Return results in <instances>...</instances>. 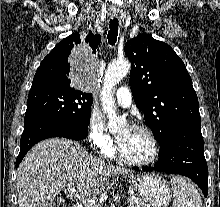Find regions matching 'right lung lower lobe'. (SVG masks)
<instances>
[{
  "label": "right lung lower lobe",
  "instance_id": "right-lung-lower-lobe-1",
  "mask_svg": "<svg viewBox=\"0 0 220 207\" xmlns=\"http://www.w3.org/2000/svg\"><path fill=\"white\" fill-rule=\"evenodd\" d=\"M88 126L72 122L53 119L33 118L24 123L21 136L20 152L16 159V167L20 164L26 153L37 142L50 137H65L81 140L87 136Z\"/></svg>",
  "mask_w": 220,
  "mask_h": 207
}]
</instances>
